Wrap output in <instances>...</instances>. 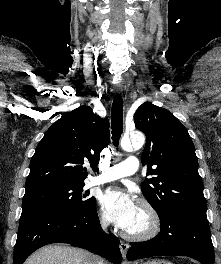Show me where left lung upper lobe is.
<instances>
[{
    "label": "left lung upper lobe",
    "mask_w": 221,
    "mask_h": 264,
    "mask_svg": "<svg viewBox=\"0 0 221 264\" xmlns=\"http://www.w3.org/2000/svg\"><path fill=\"white\" fill-rule=\"evenodd\" d=\"M134 122L147 138L142 164L153 177L141 189L150 205L159 216L206 212L198 159L187 129L168 110L149 102L138 108Z\"/></svg>",
    "instance_id": "obj_1"
}]
</instances>
